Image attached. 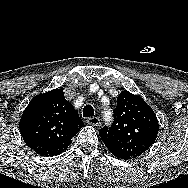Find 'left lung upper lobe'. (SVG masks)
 Wrapping results in <instances>:
<instances>
[{"mask_svg": "<svg viewBox=\"0 0 188 188\" xmlns=\"http://www.w3.org/2000/svg\"><path fill=\"white\" fill-rule=\"evenodd\" d=\"M158 130V120L151 107L140 96L125 90L117 98L113 124L101 128L99 134L103 142L136 158L152 146Z\"/></svg>", "mask_w": 188, "mask_h": 188, "instance_id": "5c2ea615", "label": "left lung upper lobe"}]
</instances>
